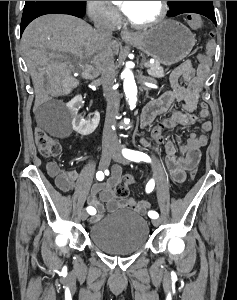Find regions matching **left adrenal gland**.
Here are the masks:
<instances>
[{
    "mask_svg": "<svg viewBox=\"0 0 237 300\" xmlns=\"http://www.w3.org/2000/svg\"><path fill=\"white\" fill-rule=\"evenodd\" d=\"M144 61H145V57H143V59H142V63H141V69H142V67H143V63H144Z\"/></svg>",
    "mask_w": 237,
    "mask_h": 300,
    "instance_id": "1",
    "label": "left adrenal gland"
}]
</instances>
